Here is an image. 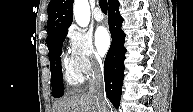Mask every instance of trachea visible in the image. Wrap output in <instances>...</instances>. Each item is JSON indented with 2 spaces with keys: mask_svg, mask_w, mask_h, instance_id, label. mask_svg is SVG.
Wrapping results in <instances>:
<instances>
[{
  "mask_svg": "<svg viewBox=\"0 0 193 112\" xmlns=\"http://www.w3.org/2000/svg\"><path fill=\"white\" fill-rule=\"evenodd\" d=\"M99 5H100L102 12L107 13V10H108L107 0H100Z\"/></svg>",
  "mask_w": 193,
  "mask_h": 112,
  "instance_id": "1",
  "label": "trachea"
}]
</instances>
